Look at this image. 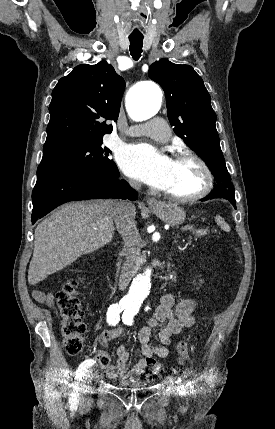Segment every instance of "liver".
<instances>
[{"mask_svg":"<svg viewBox=\"0 0 275 429\" xmlns=\"http://www.w3.org/2000/svg\"><path fill=\"white\" fill-rule=\"evenodd\" d=\"M117 204L115 200L65 204L38 224L28 270L29 284L39 283L82 255L111 242Z\"/></svg>","mask_w":275,"mask_h":429,"instance_id":"6515ba94","label":"liver"}]
</instances>
